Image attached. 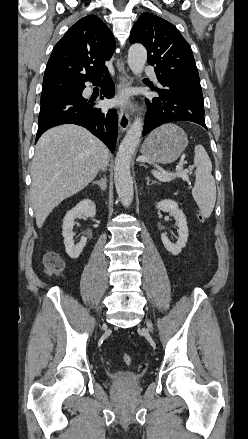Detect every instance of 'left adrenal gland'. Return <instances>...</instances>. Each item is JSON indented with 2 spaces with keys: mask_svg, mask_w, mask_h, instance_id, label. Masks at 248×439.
I'll return each mask as SVG.
<instances>
[{
  "mask_svg": "<svg viewBox=\"0 0 248 439\" xmlns=\"http://www.w3.org/2000/svg\"><path fill=\"white\" fill-rule=\"evenodd\" d=\"M146 180H147V186H149L150 184L158 183L157 181H154V180L151 181L149 176L146 177Z\"/></svg>",
  "mask_w": 248,
  "mask_h": 439,
  "instance_id": "obj_1",
  "label": "left adrenal gland"
}]
</instances>
